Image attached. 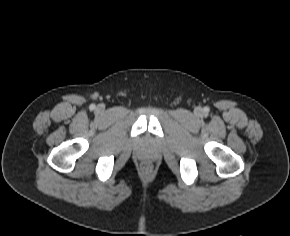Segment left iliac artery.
Masks as SVG:
<instances>
[{
	"label": "left iliac artery",
	"instance_id": "44dca946",
	"mask_svg": "<svg viewBox=\"0 0 290 236\" xmlns=\"http://www.w3.org/2000/svg\"><path fill=\"white\" fill-rule=\"evenodd\" d=\"M208 110H209V109H208L207 107L204 108V111H205V112H208Z\"/></svg>",
	"mask_w": 290,
	"mask_h": 236
}]
</instances>
